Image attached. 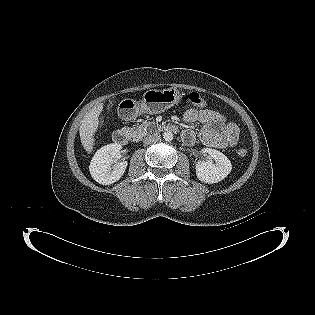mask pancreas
<instances>
[{"instance_id":"cf45deb5","label":"pancreas","mask_w":315,"mask_h":315,"mask_svg":"<svg viewBox=\"0 0 315 315\" xmlns=\"http://www.w3.org/2000/svg\"><path fill=\"white\" fill-rule=\"evenodd\" d=\"M156 125L155 122H144L136 127L130 128L131 137L136 140L148 133L147 128Z\"/></svg>"}]
</instances>
